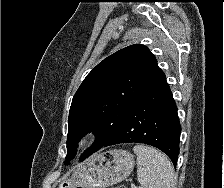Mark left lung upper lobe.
I'll list each match as a JSON object with an SVG mask.
<instances>
[{"label": "left lung upper lobe", "instance_id": "left-lung-upper-lobe-1", "mask_svg": "<svg viewBox=\"0 0 224 188\" xmlns=\"http://www.w3.org/2000/svg\"><path fill=\"white\" fill-rule=\"evenodd\" d=\"M165 77L155 56L140 44L123 48L100 62L75 93L69 111L67 156L71 160L84 134L96 135L82 160L99 150L119 127L134 101Z\"/></svg>", "mask_w": 224, "mask_h": 188}]
</instances>
